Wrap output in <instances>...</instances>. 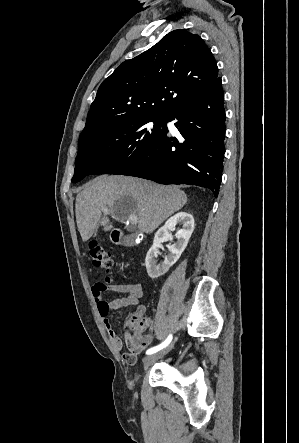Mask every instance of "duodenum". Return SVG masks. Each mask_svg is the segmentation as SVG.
Listing matches in <instances>:
<instances>
[{
	"label": "duodenum",
	"instance_id": "410a0bca",
	"mask_svg": "<svg viewBox=\"0 0 299 443\" xmlns=\"http://www.w3.org/2000/svg\"><path fill=\"white\" fill-rule=\"evenodd\" d=\"M122 238H123V233L120 230H118V229L113 230L112 239L114 242L121 243Z\"/></svg>",
	"mask_w": 299,
	"mask_h": 443
}]
</instances>
